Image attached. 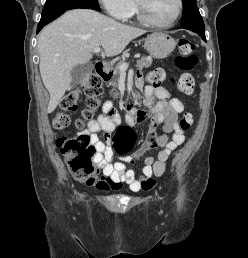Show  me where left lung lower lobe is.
<instances>
[{"label":"left lung lower lobe","mask_w":248,"mask_h":258,"mask_svg":"<svg viewBox=\"0 0 248 258\" xmlns=\"http://www.w3.org/2000/svg\"><path fill=\"white\" fill-rule=\"evenodd\" d=\"M182 28L196 32L204 41H206L204 23L189 24L182 26Z\"/></svg>","instance_id":"0a47b994"}]
</instances>
